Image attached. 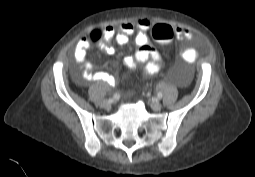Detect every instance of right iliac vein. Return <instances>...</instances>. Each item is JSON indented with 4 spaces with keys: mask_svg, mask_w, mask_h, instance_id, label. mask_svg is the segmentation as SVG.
<instances>
[{
    "mask_svg": "<svg viewBox=\"0 0 255 177\" xmlns=\"http://www.w3.org/2000/svg\"><path fill=\"white\" fill-rule=\"evenodd\" d=\"M110 105H111V101H110V100H103V101L101 102V106H102L103 108H108V107H110Z\"/></svg>",
    "mask_w": 255,
    "mask_h": 177,
    "instance_id": "obj_1",
    "label": "right iliac vein"
}]
</instances>
